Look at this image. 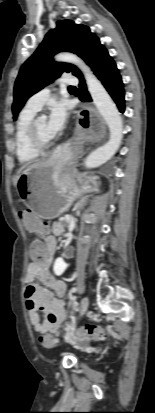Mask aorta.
<instances>
[{
  "label": "aorta",
  "mask_w": 155,
  "mask_h": 413,
  "mask_svg": "<svg viewBox=\"0 0 155 413\" xmlns=\"http://www.w3.org/2000/svg\"><path fill=\"white\" fill-rule=\"evenodd\" d=\"M55 59L73 63L82 71L93 103L109 128L110 137L108 142L90 153L85 159L86 168L98 167L111 159L121 144L123 138L122 118L101 82L82 59L72 53H60Z\"/></svg>",
  "instance_id": "762f6f07"
}]
</instances>
